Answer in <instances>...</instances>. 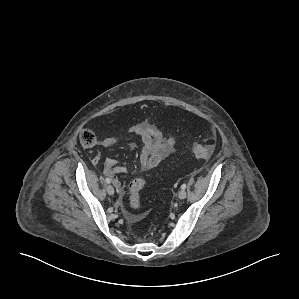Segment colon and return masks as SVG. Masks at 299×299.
Instances as JSON below:
<instances>
[{"label":"colon","mask_w":299,"mask_h":299,"mask_svg":"<svg viewBox=\"0 0 299 299\" xmlns=\"http://www.w3.org/2000/svg\"><path fill=\"white\" fill-rule=\"evenodd\" d=\"M80 141L83 146L85 147H92L96 144V137L94 133L88 129H84L80 133ZM214 151L213 144H198L195 145L191 152L192 154L201 159H208L211 157ZM145 180L142 178H137L133 180L129 186V193H130V203L131 206L134 208L139 207L140 205V197L139 193L145 186ZM140 218H143L141 216Z\"/></svg>","instance_id":"5ec220e1"}]
</instances>
